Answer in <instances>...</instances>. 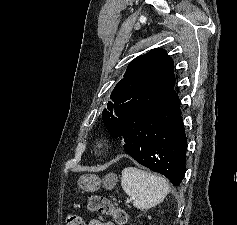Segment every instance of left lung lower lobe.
<instances>
[{
    "label": "left lung lower lobe",
    "mask_w": 237,
    "mask_h": 225,
    "mask_svg": "<svg viewBox=\"0 0 237 225\" xmlns=\"http://www.w3.org/2000/svg\"><path fill=\"white\" fill-rule=\"evenodd\" d=\"M113 137L122 140L125 151L138 163L180 185L187 139L177 94L129 115Z\"/></svg>",
    "instance_id": "left-lung-lower-lobe-1"
}]
</instances>
